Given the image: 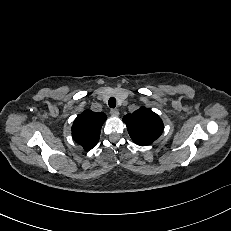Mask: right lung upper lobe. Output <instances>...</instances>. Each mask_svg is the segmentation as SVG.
<instances>
[{
  "mask_svg": "<svg viewBox=\"0 0 231 231\" xmlns=\"http://www.w3.org/2000/svg\"><path fill=\"white\" fill-rule=\"evenodd\" d=\"M107 119L104 113L90 110L82 112L74 120L72 126V137L85 150L92 149L99 140L100 129Z\"/></svg>",
  "mask_w": 231,
  "mask_h": 231,
  "instance_id": "right-lung-upper-lobe-1",
  "label": "right lung upper lobe"
}]
</instances>
